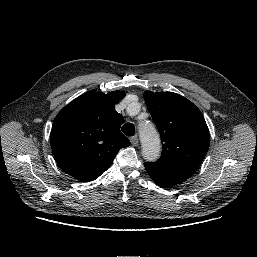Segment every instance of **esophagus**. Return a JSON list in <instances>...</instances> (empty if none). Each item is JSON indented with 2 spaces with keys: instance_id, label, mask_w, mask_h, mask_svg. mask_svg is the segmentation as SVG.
Wrapping results in <instances>:
<instances>
[{
  "instance_id": "esophagus-1",
  "label": "esophagus",
  "mask_w": 257,
  "mask_h": 257,
  "mask_svg": "<svg viewBox=\"0 0 257 257\" xmlns=\"http://www.w3.org/2000/svg\"><path fill=\"white\" fill-rule=\"evenodd\" d=\"M130 142L133 146H136L138 144V137L137 135L130 138Z\"/></svg>"
}]
</instances>
